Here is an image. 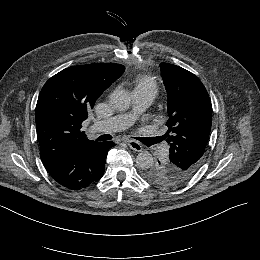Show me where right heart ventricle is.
Instances as JSON below:
<instances>
[{
    "mask_svg": "<svg viewBox=\"0 0 260 260\" xmlns=\"http://www.w3.org/2000/svg\"><path fill=\"white\" fill-rule=\"evenodd\" d=\"M157 83L146 73L136 72L132 81V92H145L154 95L157 92Z\"/></svg>",
    "mask_w": 260,
    "mask_h": 260,
    "instance_id": "obj_1",
    "label": "right heart ventricle"
}]
</instances>
